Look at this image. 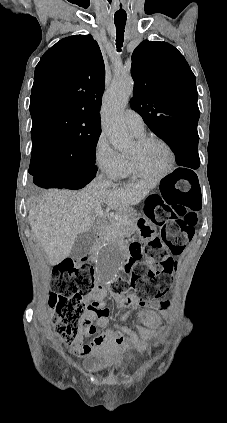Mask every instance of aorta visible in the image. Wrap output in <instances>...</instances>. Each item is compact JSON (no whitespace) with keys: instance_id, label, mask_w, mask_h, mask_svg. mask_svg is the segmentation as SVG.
<instances>
[{"instance_id":"aorta-1","label":"aorta","mask_w":227,"mask_h":423,"mask_svg":"<svg viewBox=\"0 0 227 423\" xmlns=\"http://www.w3.org/2000/svg\"><path fill=\"white\" fill-rule=\"evenodd\" d=\"M130 76H116L106 91L101 108V122L112 146L122 150L131 144V136L125 126L123 112L133 91ZM122 267L121 249L116 244L104 245L96 257V275L104 282L115 280Z\"/></svg>"}]
</instances>
